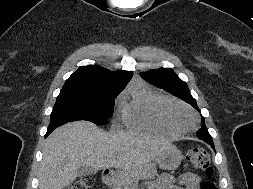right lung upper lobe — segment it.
I'll return each instance as SVG.
<instances>
[{"instance_id": "1", "label": "right lung upper lobe", "mask_w": 253, "mask_h": 189, "mask_svg": "<svg viewBox=\"0 0 253 189\" xmlns=\"http://www.w3.org/2000/svg\"><path fill=\"white\" fill-rule=\"evenodd\" d=\"M127 71L112 72L98 66H81L65 82L62 89L77 90H123L132 78Z\"/></svg>"}]
</instances>
